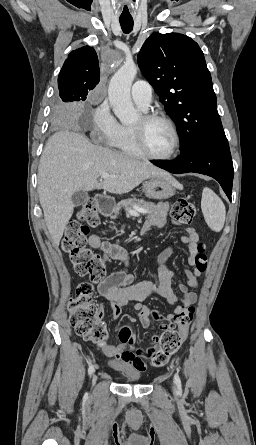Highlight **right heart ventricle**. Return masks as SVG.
Masks as SVG:
<instances>
[{"instance_id": "e07e8e85", "label": "right heart ventricle", "mask_w": 256, "mask_h": 445, "mask_svg": "<svg viewBox=\"0 0 256 445\" xmlns=\"http://www.w3.org/2000/svg\"><path fill=\"white\" fill-rule=\"evenodd\" d=\"M116 148H118L122 153L132 156V157H141L142 154L137 149L132 133L131 128L127 126H122L121 133L113 144Z\"/></svg>"}]
</instances>
